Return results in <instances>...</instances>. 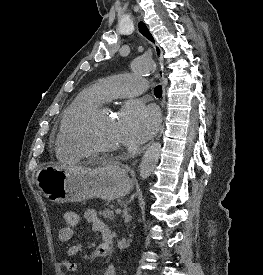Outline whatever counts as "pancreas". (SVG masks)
Instances as JSON below:
<instances>
[{
	"label": "pancreas",
	"instance_id": "obj_1",
	"mask_svg": "<svg viewBox=\"0 0 263 275\" xmlns=\"http://www.w3.org/2000/svg\"><path fill=\"white\" fill-rule=\"evenodd\" d=\"M99 215L103 216V218H108L110 220H113L114 219L113 207L110 206V208L100 211Z\"/></svg>",
	"mask_w": 263,
	"mask_h": 275
}]
</instances>
